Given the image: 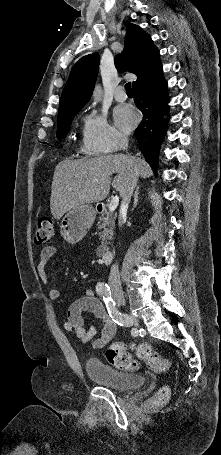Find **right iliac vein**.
<instances>
[{"label": "right iliac vein", "mask_w": 221, "mask_h": 455, "mask_svg": "<svg viewBox=\"0 0 221 455\" xmlns=\"http://www.w3.org/2000/svg\"><path fill=\"white\" fill-rule=\"evenodd\" d=\"M114 299H115V301H116L119 305H121V306H126V301H125V299H124L123 296H121V295H115V296H114ZM133 320H135V318H133ZM135 321H136V320H135Z\"/></svg>", "instance_id": "obj_1"}]
</instances>
